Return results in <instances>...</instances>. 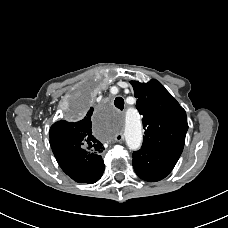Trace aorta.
<instances>
[{
    "instance_id": "aorta-1",
    "label": "aorta",
    "mask_w": 228,
    "mask_h": 228,
    "mask_svg": "<svg viewBox=\"0 0 228 228\" xmlns=\"http://www.w3.org/2000/svg\"><path fill=\"white\" fill-rule=\"evenodd\" d=\"M124 136L127 146L131 150H137L142 143V124L139 115L134 109H129L125 115Z\"/></svg>"
}]
</instances>
